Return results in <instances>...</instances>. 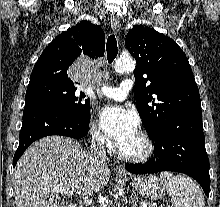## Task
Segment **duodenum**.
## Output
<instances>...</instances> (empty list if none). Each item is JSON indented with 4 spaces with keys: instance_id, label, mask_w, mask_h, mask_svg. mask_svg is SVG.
Returning a JSON list of instances; mask_svg holds the SVG:
<instances>
[{
    "instance_id": "410a0bca",
    "label": "duodenum",
    "mask_w": 220,
    "mask_h": 207,
    "mask_svg": "<svg viewBox=\"0 0 220 207\" xmlns=\"http://www.w3.org/2000/svg\"><path fill=\"white\" fill-rule=\"evenodd\" d=\"M71 207H78V206L74 205V206H71Z\"/></svg>"
}]
</instances>
